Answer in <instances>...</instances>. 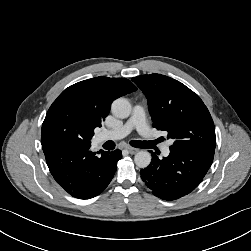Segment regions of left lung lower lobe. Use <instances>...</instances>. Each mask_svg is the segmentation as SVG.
<instances>
[{
    "instance_id": "left-lung-lower-lobe-1",
    "label": "left lung lower lobe",
    "mask_w": 251,
    "mask_h": 251,
    "mask_svg": "<svg viewBox=\"0 0 251 251\" xmlns=\"http://www.w3.org/2000/svg\"><path fill=\"white\" fill-rule=\"evenodd\" d=\"M170 151L163 159L152 153L151 164L140 172L152 193L165 200H175L192 192L202 182L214 158V150Z\"/></svg>"
}]
</instances>
